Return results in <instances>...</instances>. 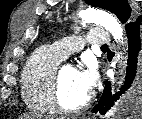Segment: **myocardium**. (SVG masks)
Wrapping results in <instances>:
<instances>
[{
    "label": "myocardium",
    "instance_id": "myocardium-1",
    "mask_svg": "<svg viewBox=\"0 0 142 119\" xmlns=\"http://www.w3.org/2000/svg\"><path fill=\"white\" fill-rule=\"evenodd\" d=\"M62 69L63 68L57 69L51 83L50 98H51L53 108L54 110L64 114H74V113L81 112L85 110L91 104L93 95L89 94L86 97V99L79 105H76L74 107H66L62 103L60 98Z\"/></svg>",
    "mask_w": 142,
    "mask_h": 119
}]
</instances>
